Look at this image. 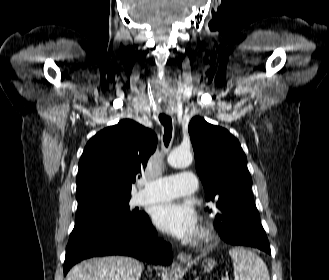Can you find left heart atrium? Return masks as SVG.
<instances>
[{
	"label": "left heart atrium",
	"mask_w": 329,
	"mask_h": 280,
	"mask_svg": "<svg viewBox=\"0 0 329 280\" xmlns=\"http://www.w3.org/2000/svg\"><path fill=\"white\" fill-rule=\"evenodd\" d=\"M153 219L160 230L179 239L190 240L198 233L195 211L189 205L178 201L157 206Z\"/></svg>",
	"instance_id": "1"
}]
</instances>
